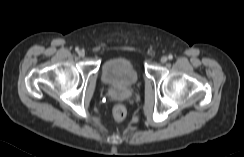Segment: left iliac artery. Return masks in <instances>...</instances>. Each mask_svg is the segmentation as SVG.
I'll return each instance as SVG.
<instances>
[{"mask_svg": "<svg viewBox=\"0 0 244 157\" xmlns=\"http://www.w3.org/2000/svg\"><path fill=\"white\" fill-rule=\"evenodd\" d=\"M168 58H169L170 60H172V59H173V56L170 54V55L168 56Z\"/></svg>", "mask_w": 244, "mask_h": 157, "instance_id": "44dca946", "label": "left iliac artery"}]
</instances>
